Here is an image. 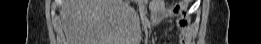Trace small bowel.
<instances>
[{"instance_id":"1","label":"small bowel","mask_w":261,"mask_h":44,"mask_svg":"<svg viewBox=\"0 0 261 44\" xmlns=\"http://www.w3.org/2000/svg\"><path fill=\"white\" fill-rule=\"evenodd\" d=\"M150 10V22L160 23L167 16L176 15L178 18L175 22V26L178 29V44L188 43L191 37V22H190V11L186 10V6H171L162 0H153L149 5Z\"/></svg>"}]
</instances>
